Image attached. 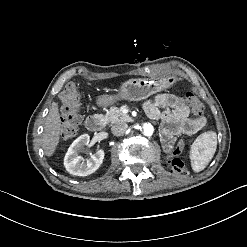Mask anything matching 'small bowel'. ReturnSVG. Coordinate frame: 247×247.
Wrapping results in <instances>:
<instances>
[{
	"instance_id": "c3829d8e",
	"label": "small bowel",
	"mask_w": 247,
	"mask_h": 247,
	"mask_svg": "<svg viewBox=\"0 0 247 247\" xmlns=\"http://www.w3.org/2000/svg\"><path fill=\"white\" fill-rule=\"evenodd\" d=\"M145 111L151 119L163 121V142L168 151L175 135L182 133L191 137L205 122L202 116L190 118V107L186 100L169 93H160L148 100L145 103Z\"/></svg>"
}]
</instances>
